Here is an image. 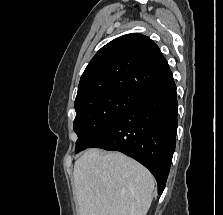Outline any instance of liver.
<instances>
[{
  "instance_id": "liver-1",
  "label": "liver",
  "mask_w": 223,
  "mask_h": 215,
  "mask_svg": "<svg viewBox=\"0 0 223 215\" xmlns=\"http://www.w3.org/2000/svg\"><path fill=\"white\" fill-rule=\"evenodd\" d=\"M73 177L80 215H146L151 205L152 173L120 151L87 149Z\"/></svg>"
}]
</instances>
